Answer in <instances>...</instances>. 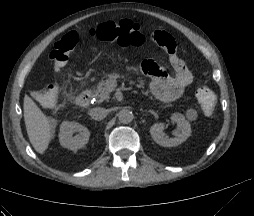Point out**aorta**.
Masks as SVG:
<instances>
[{"mask_svg": "<svg viewBox=\"0 0 254 216\" xmlns=\"http://www.w3.org/2000/svg\"><path fill=\"white\" fill-rule=\"evenodd\" d=\"M133 118H134V115H133L132 111H130L129 109H122L118 113V119L123 124H128V123L132 122Z\"/></svg>", "mask_w": 254, "mask_h": 216, "instance_id": "aorta-1", "label": "aorta"}]
</instances>
